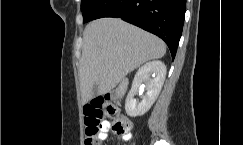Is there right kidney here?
<instances>
[{"label": "right kidney", "instance_id": "right-kidney-1", "mask_svg": "<svg viewBox=\"0 0 243 145\" xmlns=\"http://www.w3.org/2000/svg\"><path fill=\"white\" fill-rule=\"evenodd\" d=\"M165 76L166 66L159 60L150 61L138 69L125 102L127 115L130 117L141 116L151 108L160 94ZM144 89L146 93L139 102L134 96L138 92H143Z\"/></svg>", "mask_w": 243, "mask_h": 145}]
</instances>
